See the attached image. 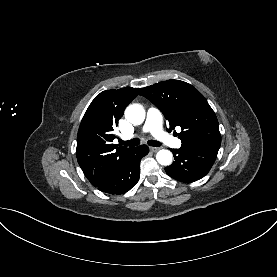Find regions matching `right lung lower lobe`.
Wrapping results in <instances>:
<instances>
[{
    "label": "right lung lower lobe",
    "mask_w": 277,
    "mask_h": 277,
    "mask_svg": "<svg viewBox=\"0 0 277 277\" xmlns=\"http://www.w3.org/2000/svg\"><path fill=\"white\" fill-rule=\"evenodd\" d=\"M148 152L149 149L145 145L134 148L117 169L96 187L102 192L113 195L130 190L139 180V163Z\"/></svg>",
    "instance_id": "right-lung-lower-lobe-1"
}]
</instances>
